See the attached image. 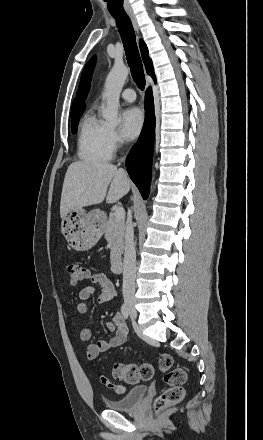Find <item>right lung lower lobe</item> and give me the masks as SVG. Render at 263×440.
Listing matches in <instances>:
<instances>
[{"label":"right lung lower lobe","mask_w":263,"mask_h":440,"mask_svg":"<svg viewBox=\"0 0 263 440\" xmlns=\"http://www.w3.org/2000/svg\"><path fill=\"white\" fill-rule=\"evenodd\" d=\"M155 80V78H154ZM145 123L138 142L131 149L127 159V171L138 187L143 199L150 190L153 142L155 133V114L152 89L148 88L145 97Z\"/></svg>","instance_id":"1"}]
</instances>
